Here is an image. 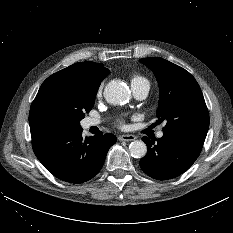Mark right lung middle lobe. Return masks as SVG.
Returning <instances> with one entry per match:
<instances>
[{"mask_svg":"<svg viewBox=\"0 0 233 233\" xmlns=\"http://www.w3.org/2000/svg\"><path fill=\"white\" fill-rule=\"evenodd\" d=\"M98 87L66 77L50 80L40 100V111L51 128H81L80 121L92 109Z\"/></svg>","mask_w":233,"mask_h":233,"instance_id":"obj_1","label":"right lung middle lobe"}]
</instances>
